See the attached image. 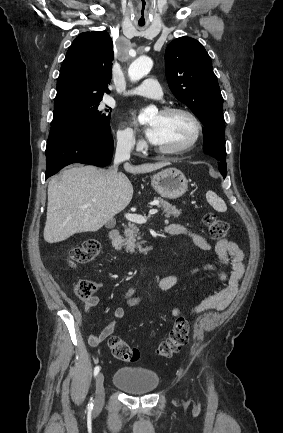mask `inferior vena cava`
<instances>
[{
  "label": "inferior vena cava",
  "mask_w": 283,
  "mask_h": 433,
  "mask_svg": "<svg viewBox=\"0 0 283 433\" xmlns=\"http://www.w3.org/2000/svg\"><path fill=\"white\" fill-rule=\"evenodd\" d=\"M133 146L132 138H124V140H118L117 148L115 152L114 164L122 162V160H129L130 150Z\"/></svg>",
  "instance_id": "obj_1"
}]
</instances>
